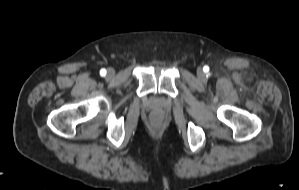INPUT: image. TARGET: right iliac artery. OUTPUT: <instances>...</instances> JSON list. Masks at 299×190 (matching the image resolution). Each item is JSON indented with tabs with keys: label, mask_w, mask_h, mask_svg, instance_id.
<instances>
[{
	"label": "right iliac artery",
	"mask_w": 299,
	"mask_h": 190,
	"mask_svg": "<svg viewBox=\"0 0 299 190\" xmlns=\"http://www.w3.org/2000/svg\"><path fill=\"white\" fill-rule=\"evenodd\" d=\"M100 75L101 76H105L106 75V70L105 69H101L100 70Z\"/></svg>",
	"instance_id": "82829eb1"
}]
</instances>
